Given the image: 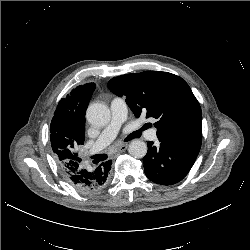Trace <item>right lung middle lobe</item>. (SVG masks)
<instances>
[{"label":"right lung middle lobe","mask_w":250,"mask_h":250,"mask_svg":"<svg viewBox=\"0 0 250 250\" xmlns=\"http://www.w3.org/2000/svg\"><path fill=\"white\" fill-rule=\"evenodd\" d=\"M84 144V138L77 140L75 143L65 142V141H51L52 150L55 153L56 159L57 156L63 155L68 160H79L78 154L76 153L77 147Z\"/></svg>","instance_id":"1"}]
</instances>
